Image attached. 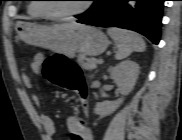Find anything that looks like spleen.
<instances>
[{
    "label": "spleen",
    "instance_id": "3e777b00",
    "mask_svg": "<svg viewBox=\"0 0 182 140\" xmlns=\"http://www.w3.org/2000/svg\"><path fill=\"white\" fill-rule=\"evenodd\" d=\"M107 32L117 46L115 54L117 60L125 59L134 51L143 52L146 48L142 37L133 31L110 28Z\"/></svg>",
    "mask_w": 182,
    "mask_h": 140
}]
</instances>
